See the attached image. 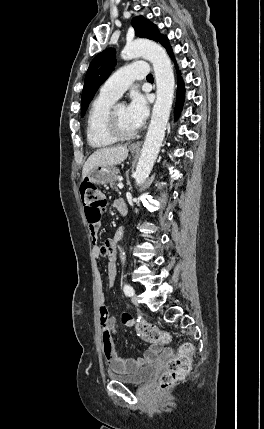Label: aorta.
<instances>
[{
    "mask_svg": "<svg viewBox=\"0 0 264 429\" xmlns=\"http://www.w3.org/2000/svg\"><path fill=\"white\" fill-rule=\"evenodd\" d=\"M121 56L124 60H131L139 57L149 60L153 65L157 85V98L134 174L136 184L140 185L144 183L151 173L165 136V130L173 103L175 79L171 61L165 49L154 41L138 39L127 43ZM121 260L123 262L125 261L124 252L121 253Z\"/></svg>",
    "mask_w": 264,
    "mask_h": 429,
    "instance_id": "762f6f07",
    "label": "aorta"
}]
</instances>
